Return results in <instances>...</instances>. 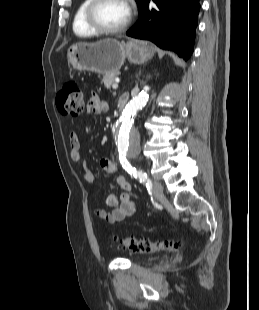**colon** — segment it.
Instances as JSON below:
<instances>
[{
    "label": "colon",
    "instance_id": "colon-1",
    "mask_svg": "<svg viewBox=\"0 0 259 310\" xmlns=\"http://www.w3.org/2000/svg\"><path fill=\"white\" fill-rule=\"evenodd\" d=\"M56 104L59 110L68 115L78 116L84 110V98L81 86L75 80H68L56 94ZM112 241L119 248H127L134 254H148L158 251L175 249L178 242L174 240H157L136 237L114 236Z\"/></svg>",
    "mask_w": 259,
    "mask_h": 310
}]
</instances>
